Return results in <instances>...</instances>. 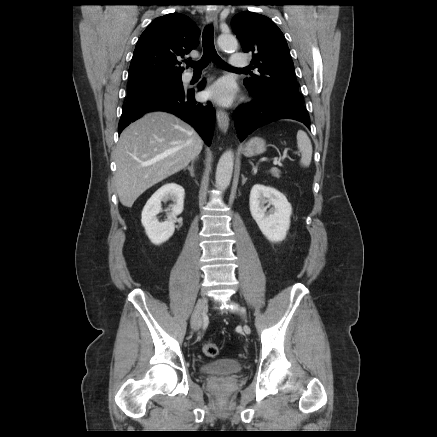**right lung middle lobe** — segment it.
<instances>
[{"label":"right lung middle lobe","instance_id":"dd1d6c3e","mask_svg":"<svg viewBox=\"0 0 437 437\" xmlns=\"http://www.w3.org/2000/svg\"><path fill=\"white\" fill-rule=\"evenodd\" d=\"M181 76H143L130 78L127 100L156 92L181 89Z\"/></svg>","mask_w":437,"mask_h":437}]
</instances>
